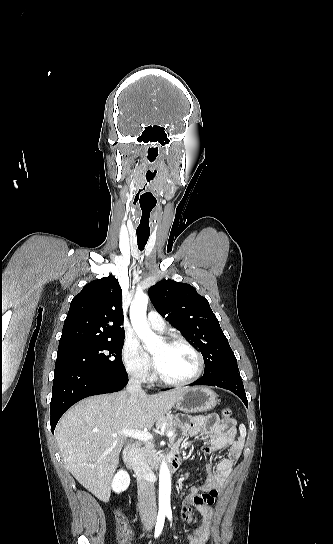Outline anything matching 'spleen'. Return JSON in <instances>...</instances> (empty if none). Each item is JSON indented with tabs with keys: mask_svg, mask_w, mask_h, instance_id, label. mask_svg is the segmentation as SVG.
<instances>
[{
	"mask_svg": "<svg viewBox=\"0 0 333 544\" xmlns=\"http://www.w3.org/2000/svg\"><path fill=\"white\" fill-rule=\"evenodd\" d=\"M239 430H240V435H241V437H245V436H246V427H245L244 424H241V425L239 426Z\"/></svg>",
	"mask_w": 333,
	"mask_h": 544,
	"instance_id": "obj_1",
	"label": "spleen"
}]
</instances>
